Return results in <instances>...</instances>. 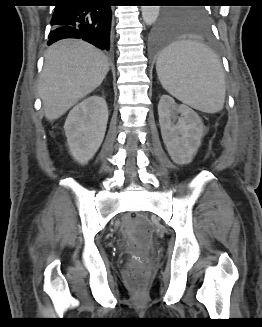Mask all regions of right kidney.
Listing matches in <instances>:
<instances>
[{
    "mask_svg": "<svg viewBox=\"0 0 262 327\" xmlns=\"http://www.w3.org/2000/svg\"><path fill=\"white\" fill-rule=\"evenodd\" d=\"M108 108L104 98L94 95L77 104L68 114L64 130L72 157L86 164L99 149L105 135Z\"/></svg>",
    "mask_w": 262,
    "mask_h": 327,
    "instance_id": "ca27d5eb",
    "label": "right kidney"
}]
</instances>
